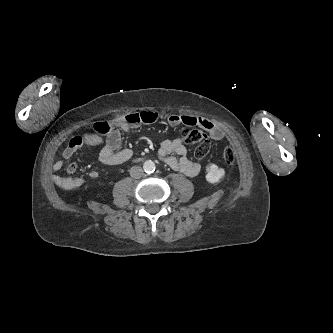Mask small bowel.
Here are the masks:
<instances>
[{
	"instance_id": "small-bowel-1",
	"label": "small bowel",
	"mask_w": 333,
	"mask_h": 333,
	"mask_svg": "<svg viewBox=\"0 0 333 333\" xmlns=\"http://www.w3.org/2000/svg\"><path fill=\"white\" fill-rule=\"evenodd\" d=\"M158 119V114L153 111H141L129 113L114 120L113 131L106 136L104 145L99 150V160L106 165H118L127 162L133 155L132 150L120 148L121 136L120 130L131 131L142 124L153 123ZM168 123L172 126L184 125L188 127L199 126L208 132L211 139L219 141L224 137L223 129L206 118L193 115L174 114L169 116ZM103 137L99 134H83L70 139L62 153V159L53 164V171H59L64 163L71 160L73 155L85 146L100 145L103 143ZM160 158L172 169L178 170L187 176H197L201 171V166L191 161L187 157V149L182 138L173 140H162L159 142L158 150ZM175 154L177 156H172ZM77 170L76 163H70L66 168V176H54V182L64 189H71L83 184L84 179L74 177ZM91 178H97L98 172L91 171Z\"/></svg>"
}]
</instances>
